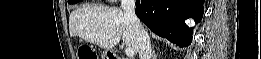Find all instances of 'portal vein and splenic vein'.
Segmentation results:
<instances>
[{
    "label": "portal vein and splenic vein",
    "mask_w": 261,
    "mask_h": 59,
    "mask_svg": "<svg viewBox=\"0 0 261 59\" xmlns=\"http://www.w3.org/2000/svg\"><path fill=\"white\" fill-rule=\"evenodd\" d=\"M134 49L133 48H131V47H128V48H126V50H125V53H126V55L128 56V57H132V56H134Z\"/></svg>",
    "instance_id": "18ae733b"
}]
</instances>
